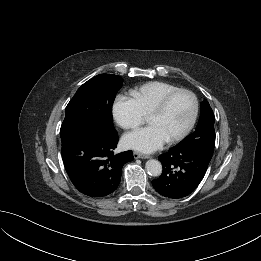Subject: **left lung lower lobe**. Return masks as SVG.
Instances as JSON below:
<instances>
[{"label":"left lung lower lobe","instance_id":"obj_1","mask_svg":"<svg viewBox=\"0 0 261 261\" xmlns=\"http://www.w3.org/2000/svg\"><path fill=\"white\" fill-rule=\"evenodd\" d=\"M163 172L152 181L154 189L166 198H183L202 181L211 158L193 149L175 146L159 156Z\"/></svg>","mask_w":261,"mask_h":261}]
</instances>
